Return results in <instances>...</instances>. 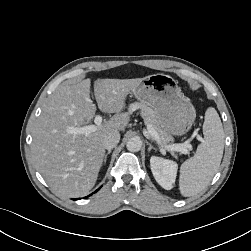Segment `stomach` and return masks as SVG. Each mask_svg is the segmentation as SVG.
I'll list each match as a JSON object with an SVG mask.
<instances>
[{"label":"stomach","instance_id":"0dacf381","mask_svg":"<svg viewBox=\"0 0 251 251\" xmlns=\"http://www.w3.org/2000/svg\"><path fill=\"white\" fill-rule=\"evenodd\" d=\"M132 93L142 104L151 107L160 126L169 134L182 136L196 119V110L169 75L154 74L142 78Z\"/></svg>","mask_w":251,"mask_h":251}]
</instances>
